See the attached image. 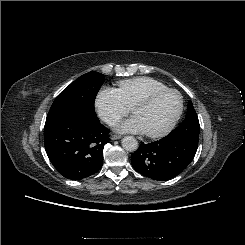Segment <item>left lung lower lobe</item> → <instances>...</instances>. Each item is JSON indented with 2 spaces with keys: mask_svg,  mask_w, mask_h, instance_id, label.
I'll return each mask as SVG.
<instances>
[{
  "mask_svg": "<svg viewBox=\"0 0 245 245\" xmlns=\"http://www.w3.org/2000/svg\"><path fill=\"white\" fill-rule=\"evenodd\" d=\"M198 142L189 139L159 141L144 144L131 155L133 168L154 180H168L179 175L193 160Z\"/></svg>",
  "mask_w": 245,
  "mask_h": 245,
  "instance_id": "obj_1",
  "label": "left lung lower lobe"
}]
</instances>
